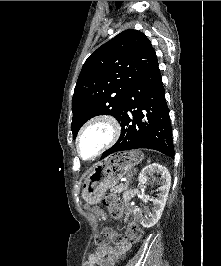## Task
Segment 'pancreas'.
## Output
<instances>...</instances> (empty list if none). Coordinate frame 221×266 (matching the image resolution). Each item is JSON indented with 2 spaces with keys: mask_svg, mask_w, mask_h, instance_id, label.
Here are the masks:
<instances>
[{
  "mask_svg": "<svg viewBox=\"0 0 221 266\" xmlns=\"http://www.w3.org/2000/svg\"><path fill=\"white\" fill-rule=\"evenodd\" d=\"M124 189H125V186L123 184H120V185L114 187L111 191L114 194H120L121 192H123Z\"/></svg>",
  "mask_w": 221,
  "mask_h": 266,
  "instance_id": "obj_1",
  "label": "pancreas"
}]
</instances>
